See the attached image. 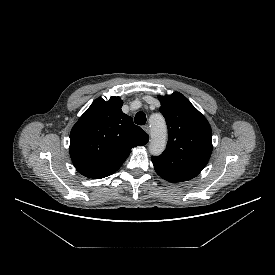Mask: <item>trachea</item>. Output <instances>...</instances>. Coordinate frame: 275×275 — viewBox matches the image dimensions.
<instances>
[{"instance_id": "obj_1", "label": "trachea", "mask_w": 275, "mask_h": 275, "mask_svg": "<svg viewBox=\"0 0 275 275\" xmlns=\"http://www.w3.org/2000/svg\"><path fill=\"white\" fill-rule=\"evenodd\" d=\"M134 121L137 125H144L146 123V115L144 112H138L135 115Z\"/></svg>"}]
</instances>
